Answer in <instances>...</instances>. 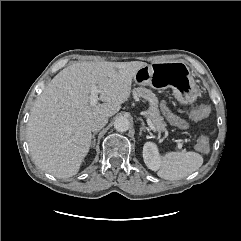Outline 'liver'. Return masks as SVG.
Masks as SVG:
<instances>
[{
    "label": "liver",
    "mask_w": 241,
    "mask_h": 241,
    "mask_svg": "<svg viewBox=\"0 0 241 241\" xmlns=\"http://www.w3.org/2000/svg\"><path fill=\"white\" fill-rule=\"evenodd\" d=\"M146 65L82 62L60 71L37 98L29 117L27 139L34 163L57 178L77 174L91 146V122L121 109L135 74ZM94 85L102 104H90Z\"/></svg>",
    "instance_id": "1"
}]
</instances>
